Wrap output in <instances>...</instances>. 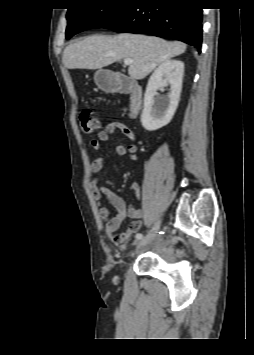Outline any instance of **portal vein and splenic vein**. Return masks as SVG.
Instances as JSON below:
<instances>
[{"label": "portal vein and splenic vein", "instance_id": "obj_1", "mask_svg": "<svg viewBox=\"0 0 254 355\" xmlns=\"http://www.w3.org/2000/svg\"><path fill=\"white\" fill-rule=\"evenodd\" d=\"M133 63L132 59H124V64L125 65H131Z\"/></svg>", "mask_w": 254, "mask_h": 355}]
</instances>
